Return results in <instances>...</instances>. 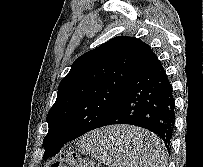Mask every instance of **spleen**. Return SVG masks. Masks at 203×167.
I'll return each instance as SVG.
<instances>
[{"label":"spleen","mask_w":203,"mask_h":167,"mask_svg":"<svg viewBox=\"0 0 203 167\" xmlns=\"http://www.w3.org/2000/svg\"><path fill=\"white\" fill-rule=\"evenodd\" d=\"M110 136L101 131L89 134L80 142V150L89 153L99 159L108 167H166L167 154L163 143L159 138L154 137L145 144L142 157L133 160L128 158L125 150L118 145L109 146ZM120 149L124 154H115Z\"/></svg>","instance_id":"spleen-1"}]
</instances>
